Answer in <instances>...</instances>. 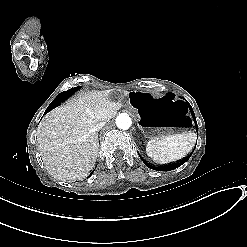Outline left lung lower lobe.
I'll return each instance as SVG.
<instances>
[{
  "mask_svg": "<svg viewBox=\"0 0 247 247\" xmlns=\"http://www.w3.org/2000/svg\"><path fill=\"white\" fill-rule=\"evenodd\" d=\"M192 115H193V117H194V112H193V110H192ZM195 123H196V120H195ZM196 125H197V123H196ZM197 131H198V128H197ZM193 151H194V150H193ZM191 154H192V153H191ZM191 154H190L188 157L184 158L183 160H181V161H179V162H177V163H173V164H169V165H164V166H153V165L148 164L147 162H145V161L142 159L141 156H140V158H141L142 161L145 163V165H146L148 168H150V169L157 170V171H171V170H173V169H176V168L180 167L182 164H184V163L190 158Z\"/></svg>",
  "mask_w": 247,
  "mask_h": 247,
  "instance_id": "0a47b994",
  "label": "left lung lower lobe"
}]
</instances>
